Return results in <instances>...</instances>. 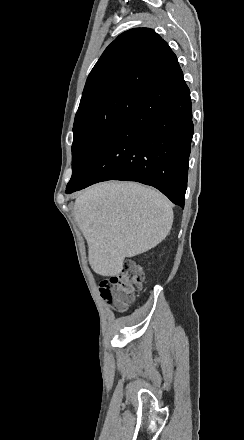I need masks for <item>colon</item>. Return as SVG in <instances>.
Returning a JSON list of instances; mask_svg holds the SVG:
<instances>
[{
	"instance_id": "5ec220e1",
	"label": "colon",
	"mask_w": 244,
	"mask_h": 440,
	"mask_svg": "<svg viewBox=\"0 0 244 440\" xmlns=\"http://www.w3.org/2000/svg\"><path fill=\"white\" fill-rule=\"evenodd\" d=\"M143 283V275L134 261H125L122 271L105 277L99 284L100 297L122 311Z\"/></svg>"
}]
</instances>
